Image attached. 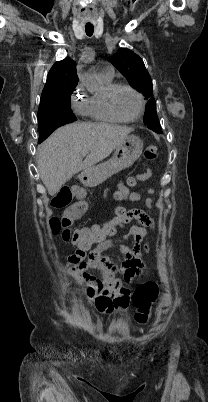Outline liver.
I'll return each mask as SVG.
<instances>
[{
	"instance_id": "1",
	"label": "liver",
	"mask_w": 208,
	"mask_h": 402,
	"mask_svg": "<svg viewBox=\"0 0 208 402\" xmlns=\"http://www.w3.org/2000/svg\"><path fill=\"white\" fill-rule=\"evenodd\" d=\"M132 132V128L113 124H68L56 130L38 148V172L50 196H54L86 168L110 156ZM83 154H88L82 162Z\"/></svg>"
}]
</instances>
